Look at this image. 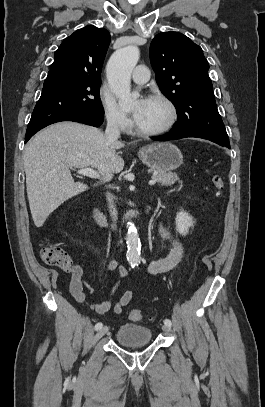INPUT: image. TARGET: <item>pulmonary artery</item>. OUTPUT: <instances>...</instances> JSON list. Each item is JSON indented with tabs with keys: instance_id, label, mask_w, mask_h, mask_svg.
Returning <instances> with one entry per match:
<instances>
[{
	"instance_id": "e3ab8cb5",
	"label": "pulmonary artery",
	"mask_w": 265,
	"mask_h": 407,
	"mask_svg": "<svg viewBox=\"0 0 265 407\" xmlns=\"http://www.w3.org/2000/svg\"><path fill=\"white\" fill-rule=\"evenodd\" d=\"M149 69L145 65H138L132 73V80L136 84H144L149 79Z\"/></svg>"
}]
</instances>
